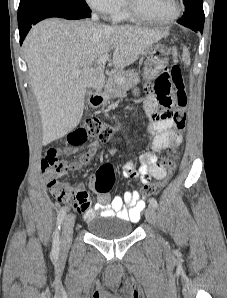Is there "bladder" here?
Returning a JSON list of instances; mask_svg holds the SVG:
<instances>
[{
	"mask_svg": "<svg viewBox=\"0 0 227 298\" xmlns=\"http://www.w3.org/2000/svg\"><path fill=\"white\" fill-rule=\"evenodd\" d=\"M89 232L103 240H116L129 236L133 227L127 220H106L103 218H94L87 223Z\"/></svg>",
	"mask_w": 227,
	"mask_h": 298,
	"instance_id": "bladder-1",
	"label": "bladder"
}]
</instances>
